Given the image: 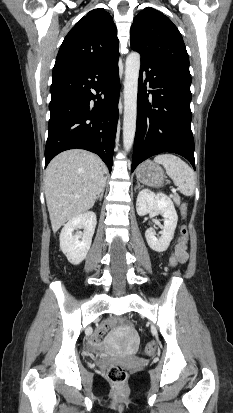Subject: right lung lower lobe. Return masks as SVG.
<instances>
[{"label":"right lung lower lobe","mask_w":233,"mask_h":413,"mask_svg":"<svg viewBox=\"0 0 233 413\" xmlns=\"http://www.w3.org/2000/svg\"><path fill=\"white\" fill-rule=\"evenodd\" d=\"M118 57L52 76L45 167L58 153L79 148L98 154L111 172L118 121Z\"/></svg>","instance_id":"right-lung-lower-lobe-1"}]
</instances>
